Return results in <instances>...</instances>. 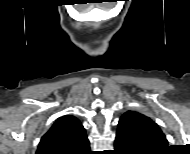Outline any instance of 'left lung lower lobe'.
<instances>
[{
  "mask_svg": "<svg viewBox=\"0 0 190 154\" xmlns=\"http://www.w3.org/2000/svg\"><path fill=\"white\" fill-rule=\"evenodd\" d=\"M167 143L149 136L138 124L134 115L128 114L120 118L115 139V149L123 154H151Z\"/></svg>",
  "mask_w": 190,
  "mask_h": 154,
  "instance_id": "1",
  "label": "left lung lower lobe"
}]
</instances>
